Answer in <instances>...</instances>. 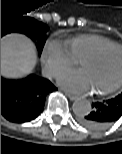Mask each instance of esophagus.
<instances>
[{
    "instance_id": "obj_1",
    "label": "esophagus",
    "mask_w": 122,
    "mask_h": 154,
    "mask_svg": "<svg viewBox=\"0 0 122 154\" xmlns=\"http://www.w3.org/2000/svg\"><path fill=\"white\" fill-rule=\"evenodd\" d=\"M64 93H65V95H66L71 101H74V100H76V99L78 98L76 95H73V94H71V93H69V92L64 91Z\"/></svg>"
}]
</instances>
